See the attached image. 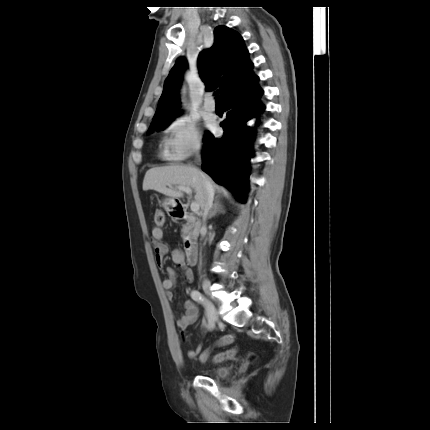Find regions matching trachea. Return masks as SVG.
Wrapping results in <instances>:
<instances>
[{
  "mask_svg": "<svg viewBox=\"0 0 430 430\" xmlns=\"http://www.w3.org/2000/svg\"><path fill=\"white\" fill-rule=\"evenodd\" d=\"M221 93V90L220 89H218L217 90V92H216V94H220Z\"/></svg>",
  "mask_w": 430,
  "mask_h": 430,
  "instance_id": "1",
  "label": "trachea"
}]
</instances>
